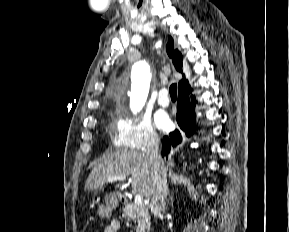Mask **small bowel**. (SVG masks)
I'll return each instance as SVG.
<instances>
[{"instance_id": "1", "label": "small bowel", "mask_w": 289, "mask_h": 232, "mask_svg": "<svg viewBox=\"0 0 289 232\" xmlns=\"http://www.w3.org/2000/svg\"><path fill=\"white\" fill-rule=\"evenodd\" d=\"M120 229V224L118 221L114 220L109 225H107L103 232H118Z\"/></svg>"}]
</instances>
